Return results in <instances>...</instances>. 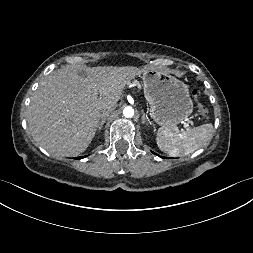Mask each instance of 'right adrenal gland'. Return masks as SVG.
Wrapping results in <instances>:
<instances>
[{
  "mask_svg": "<svg viewBox=\"0 0 253 253\" xmlns=\"http://www.w3.org/2000/svg\"><path fill=\"white\" fill-rule=\"evenodd\" d=\"M106 119H107V116H105V117H103V118L101 119L100 124H99V126H98V131H100L101 128L103 127V125H104Z\"/></svg>",
  "mask_w": 253,
  "mask_h": 253,
  "instance_id": "2a0ac1e0",
  "label": "right adrenal gland"
}]
</instances>
